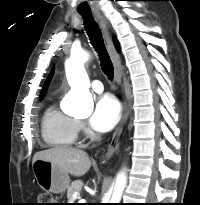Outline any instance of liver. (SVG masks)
Listing matches in <instances>:
<instances>
[{
    "label": "liver",
    "mask_w": 200,
    "mask_h": 205,
    "mask_svg": "<svg viewBox=\"0 0 200 205\" xmlns=\"http://www.w3.org/2000/svg\"><path fill=\"white\" fill-rule=\"evenodd\" d=\"M36 160L52 162L65 172L76 177L83 176L91 167V161L86 152L63 146L37 152L33 157V162Z\"/></svg>",
    "instance_id": "liver-1"
}]
</instances>
